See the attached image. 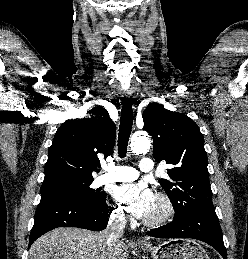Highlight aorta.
Segmentation results:
<instances>
[{
  "label": "aorta",
  "instance_id": "762f6f07",
  "mask_svg": "<svg viewBox=\"0 0 248 259\" xmlns=\"http://www.w3.org/2000/svg\"><path fill=\"white\" fill-rule=\"evenodd\" d=\"M150 140L146 135H134L131 138V149L134 153L141 154L150 148Z\"/></svg>",
  "mask_w": 248,
  "mask_h": 259
}]
</instances>
